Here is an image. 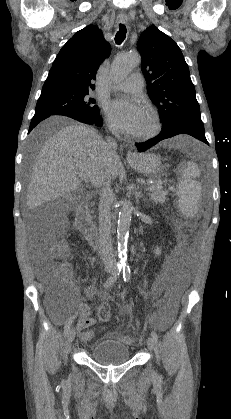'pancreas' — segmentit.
Masks as SVG:
<instances>
[{"mask_svg": "<svg viewBox=\"0 0 231 419\" xmlns=\"http://www.w3.org/2000/svg\"><path fill=\"white\" fill-rule=\"evenodd\" d=\"M153 187H154V190H151L150 191L151 193L149 194L150 200L155 204L157 203L163 204L167 200L166 195L168 192L164 191L162 187L159 185H154Z\"/></svg>", "mask_w": 231, "mask_h": 419, "instance_id": "1", "label": "pancreas"}]
</instances>
